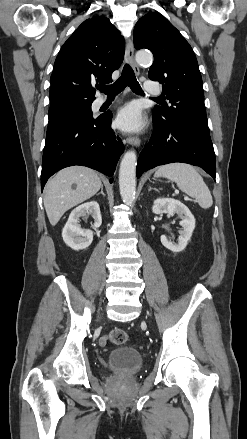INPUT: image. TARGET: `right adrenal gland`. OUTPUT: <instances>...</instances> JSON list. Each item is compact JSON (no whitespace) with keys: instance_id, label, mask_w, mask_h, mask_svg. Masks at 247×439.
I'll return each instance as SVG.
<instances>
[{"instance_id":"right-adrenal-gland-1","label":"right adrenal gland","mask_w":247,"mask_h":439,"mask_svg":"<svg viewBox=\"0 0 247 439\" xmlns=\"http://www.w3.org/2000/svg\"><path fill=\"white\" fill-rule=\"evenodd\" d=\"M100 194H102L103 196H105V194H104V192H103V185L101 186V192H99V193L97 194V196L100 195Z\"/></svg>"}]
</instances>
